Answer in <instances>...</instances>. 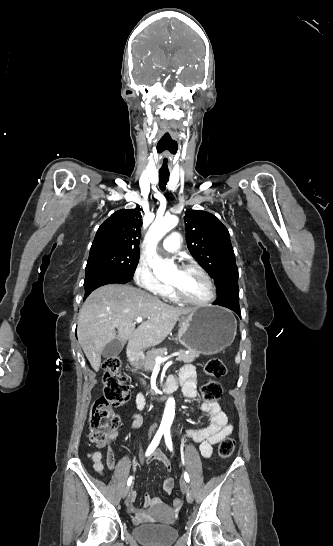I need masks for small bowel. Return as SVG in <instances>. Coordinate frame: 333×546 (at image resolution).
I'll return each instance as SVG.
<instances>
[{
  "label": "small bowel",
  "mask_w": 333,
  "mask_h": 546,
  "mask_svg": "<svg viewBox=\"0 0 333 546\" xmlns=\"http://www.w3.org/2000/svg\"><path fill=\"white\" fill-rule=\"evenodd\" d=\"M177 384L182 385L183 393L188 398H194L196 396V387L198 382V374L196 369L192 365L184 366L177 378H175ZM136 404L138 409L144 410L146 407V398L143 394H138L136 397ZM201 409L210 415V423L199 429L187 430L185 435L187 438L195 443L199 444V450L203 457L210 458L213 453V446L219 443L223 438L229 436L232 433L233 426L229 422L227 415L222 411L217 401L204 402ZM142 424V417L135 414L131 418V428L138 429ZM91 458L94 463V469L104 475V464L102 462V455L99 451L93 452ZM151 461L159 462L164 468L169 471L171 469V462L167 455L161 450L155 451L151 456ZM106 466L110 471L115 470L116 460L115 454L112 450H109L106 455ZM175 486V481L172 477L168 476L163 482V489L167 494H170ZM136 494L130 492L125 502V509L128 514L131 515L134 524L149 523L154 521L156 514L169 513L172 514L173 510L169 508L160 498L154 497L149 493L144 495L145 509H137L133 506Z\"/></svg>",
  "instance_id": "small-bowel-1"
}]
</instances>
